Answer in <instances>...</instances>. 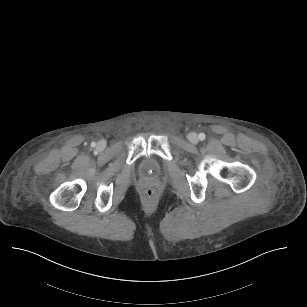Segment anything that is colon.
<instances>
[{"mask_svg":"<svg viewBox=\"0 0 307 307\" xmlns=\"http://www.w3.org/2000/svg\"><path fill=\"white\" fill-rule=\"evenodd\" d=\"M141 196L145 200H153L157 196V189L153 185H145L141 189Z\"/></svg>","mask_w":307,"mask_h":307,"instance_id":"obj_1","label":"colon"}]
</instances>
